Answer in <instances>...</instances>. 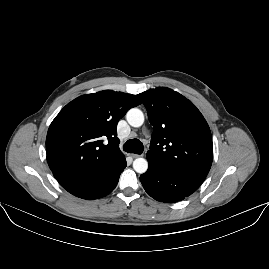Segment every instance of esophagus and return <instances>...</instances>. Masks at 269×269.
I'll list each match as a JSON object with an SVG mask.
<instances>
[{
  "instance_id": "esophagus-1",
  "label": "esophagus",
  "mask_w": 269,
  "mask_h": 269,
  "mask_svg": "<svg viewBox=\"0 0 269 269\" xmlns=\"http://www.w3.org/2000/svg\"><path fill=\"white\" fill-rule=\"evenodd\" d=\"M130 156H131L132 158H138V157H140L141 155H140V154H130Z\"/></svg>"
}]
</instances>
